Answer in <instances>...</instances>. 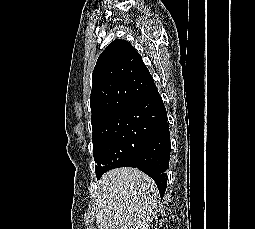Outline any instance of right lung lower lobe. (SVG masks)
Masks as SVG:
<instances>
[{"label":"right lung lower lobe","instance_id":"1","mask_svg":"<svg viewBox=\"0 0 255 229\" xmlns=\"http://www.w3.org/2000/svg\"><path fill=\"white\" fill-rule=\"evenodd\" d=\"M128 114L142 119L150 133L135 167L150 176L156 183L161 199L167 187L166 170L170 160V134L167 113L158 91L126 109Z\"/></svg>","mask_w":255,"mask_h":229}]
</instances>
